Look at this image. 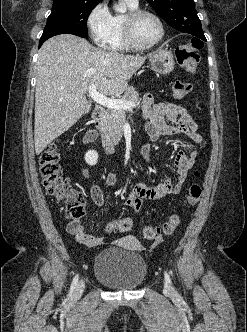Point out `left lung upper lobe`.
<instances>
[{"label":"left lung upper lobe","mask_w":247,"mask_h":332,"mask_svg":"<svg viewBox=\"0 0 247 332\" xmlns=\"http://www.w3.org/2000/svg\"><path fill=\"white\" fill-rule=\"evenodd\" d=\"M163 20L178 31L206 40L193 0H146Z\"/></svg>","instance_id":"1"}]
</instances>
